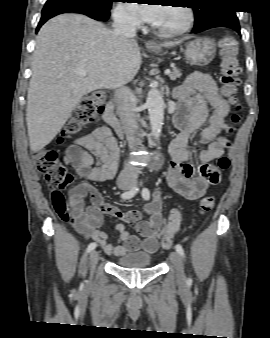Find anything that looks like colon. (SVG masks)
<instances>
[{
	"instance_id": "obj_1",
	"label": "colon",
	"mask_w": 270,
	"mask_h": 338,
	"mask_svg": "<svg viewBox=\"0 0 270 338\" xmlns=\"http://www.w3.org/2000/svg\"><path fill=\"white\" fill-rule=\"evenodd\" d=\"M221 55V84L223 92L232 97L240 81V64L238 60V42L230 35L223 36L219 42ZM105 96L102 93H92L88 97L80 100L78 106L72 113L71 118L66 122L61 132V138L70 137L80 132L85 127L94 122L97 116L104 110ZM239 121V116L234 113L231 116V126L228 133L233 132V126ZM33 162L36 168L44 175L48 187L52 190V205L55 212L65 218L64 210L60 205L61 191H63L73 180L72 174L59 162V154L54 149H40L33 153ZM230 161L227 157L218 159L215 166L211 167L214 171L227 170ZM215 205V197L206 195L200 203V211L209 213ZM182 217L179 211H173L169 221L165 226L161 244L164 249H169L173 245L174 235L178 231Z\"/></svg>"
}]
</instances>
